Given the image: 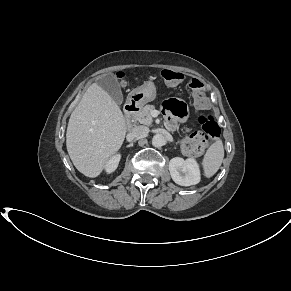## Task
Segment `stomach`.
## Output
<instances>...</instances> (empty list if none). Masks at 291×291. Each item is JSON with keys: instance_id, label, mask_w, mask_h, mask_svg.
<instances>
[{"instance_id": "obj_1", "label": "stomach", "mask_w": 291, "mask_h": 291, "mask_svg": "<svg viewBox=\"0 0 291 291\" xmlns=\"http://www.w3.org/2000/svg\"><path fill=\"white\" fill-rule=\"evenodd\" d=\"M156 98V87L152 81H147L138 88L133 89L128 95V101L137 105L153 101Z\"/></svg>"}]
</instances>
